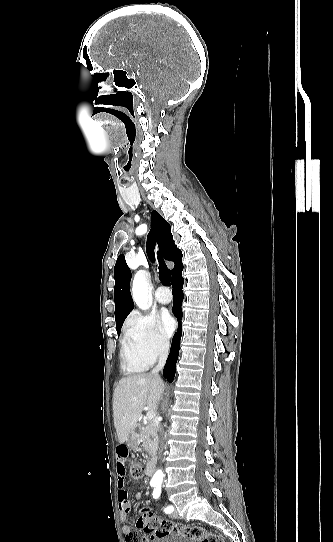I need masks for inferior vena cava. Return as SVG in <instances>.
Masks as SVG:
<instances>
[{"label":"inferior vena cava","mask_w":333,"mask_h":542,"mask_svg":"<svg viewBox=\"0 0 333 542\" xmlns=\"http://www.w3.org/2000/svg\"><path fill=\"white\" fill-rule=\"evenodd\" d=\"M168 350H169V342L168 340H166V342H164L163 344V348L159 354V360H158V364L157 366H155V368H153L152 372H150L151 376H158V372H160V370H163L164 366H165V362L167 360V356H168ZM158 378H160V376H158ZM160 432H161V436L163 434L161 428H160ZM164 438H161L160 440V448L158 450V454L159 456H161L163 450H164V442H163Z\"/></svg>","instance_id":"inferior-vena-cava-1"}]
</instances>
